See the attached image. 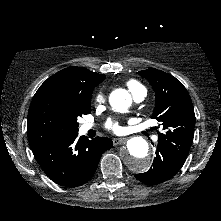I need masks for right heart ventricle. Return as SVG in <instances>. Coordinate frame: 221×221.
Instances as JSON below:
<instances>
[{
	"mask_svg": "<svg viewBox=\"0 0 221 221\" xmlns=\"http://www.w3.org/2000/svg\"><path fill=\"white\" fill-rule=\"evenodd\" d=\"M138 86H140L137 82H135V81H130L129 83H128V88H129V90L131 91L132 89H134L135 87H138Z\"/></svg>",
	"mask_w": 221,
	"mask_h": 221,
	"instance_id": "obj_1",
	"label": "right heart ventricle"
}]
</instances>
